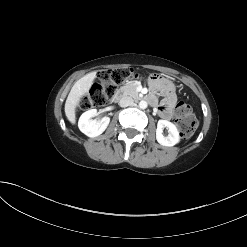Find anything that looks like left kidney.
<instances>
[{"instance_id": "left-kidney-1", "label": "left kidney", "mask_w": 247, "mask_h": 247, "mask_svg": "<svg viewBox=\"0 0 247 247\" xmlns=\"http://www.w3.org/2000/svg\"><path fill=\"white\" fill-rule=\"evenodd\" d=\"M167 128L169 131V134L167 137L163 136V129ZM156 139L158 143H160L163 146H174L180 141V135L177 127L167 120H159L157 123V129H156Z\"/></svg>"}]
</instances>
